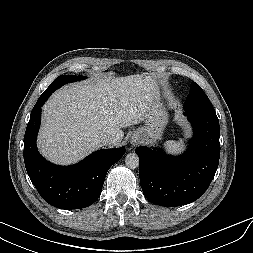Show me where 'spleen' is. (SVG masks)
Wrapping results in <instances>:
<instances>
[{"mask_svg":"<svg viewBox=\"0 0 253 253\" xmlns=\"http://www.w3.org/2000/svg\"><path fill=\"white\" fill-rule=\"evenodd\" d=\"M164 147L169 154H178L185 149V143L183 139L179 141L169 140L164 143Z\"/></svg>","mask_w":253,"mask_h":253,"instance_id":"spleen-1","label":"spleen"}]
</instances>
